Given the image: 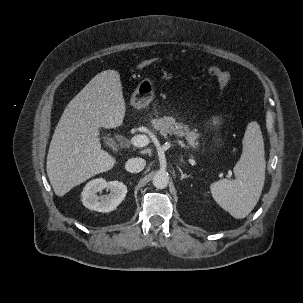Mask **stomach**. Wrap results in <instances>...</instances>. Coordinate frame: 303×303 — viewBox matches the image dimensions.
I'll use <instances>...</instances> for the list:
<instances>
[{"label":"stomach","instance_id":"stomach-1","mask_svg":"<svg viewBox=\"0 0 303 303\" xmlns=\"http://www.w3.org/2000/svg\"><path fill=\"white\" fill-rule=\"evenodd\" d=\"M154 97V86L150 78H144L135 89L131 97V105L137 109H142L148 106ZM212 123L215 126L222 124V119L219 116L212 117Z\"/></svg>","mask_w":303,"mask_h":303}]
</instances>
